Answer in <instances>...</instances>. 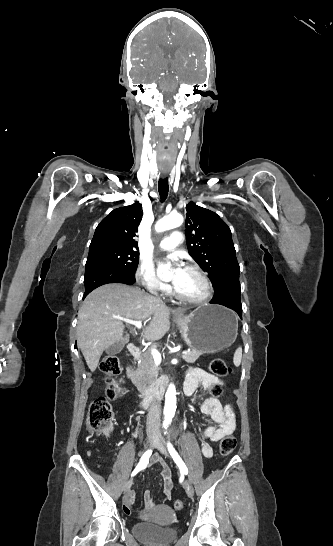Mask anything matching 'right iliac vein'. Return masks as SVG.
Wrapping results in <instances>:
<instances>
[{"label":"right iliac vein","mask_w":333,"mask_h":546,"mask_svg":"<svg viewBox=\"0 0 333 546\" xmlns=\"http://www.w3.org/2000/svg\"><path fill=\"white\" fill-rule=\"evenodd\" d=\"M156 441V436L154 434L150 435L148 438V444L150 446L154 445ZM133 484V480L130 479L124 486V492H128Z\"/></svg>","instance_id":"right-iliac-vein-1"}]
</instances>
